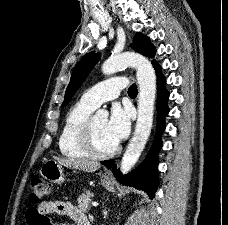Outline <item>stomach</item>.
<instances>
[{"instance_id":"0dacf381","label":"stomach","mask_w":228,"mask_h":225,"mask_svg":"<svg viewBox=\"0 0 228 225\" xmlns=\"http://www.w3.org/2000/svg\"><path fill=\"white\" fill-rule=\"evenodd\" d=\"M65 165H60L54 159H48L43 163L40 169V175H42L43 179L49 181V183H56V185H62L65 181V173H64ZM101 183L107 191H111L114 193L115 187L112 179H105V175H103L101 179Z\"/></svg>"}]
</instances>
